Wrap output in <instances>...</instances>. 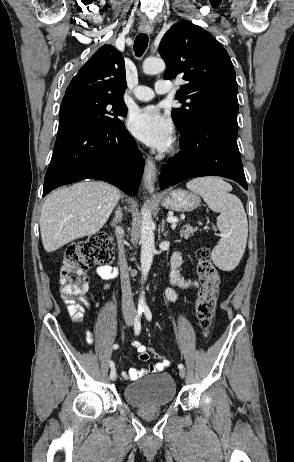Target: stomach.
<instances>
[{"label":"stomach","mask_w":294,"mask_h":462,"mask_svg":"<svg viewBox=\"0 0 294 462\" xmlns=\"http://www.w3.org/2000/svg\"><path fill=\"white\" fill-rule=\"evenodd\" d=\"M161 205L178 212H190L200 205V198L185 190L175 189L162 200Z\"/></svg>","instance_id":"0dacf381"}]
</instances>
